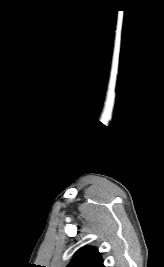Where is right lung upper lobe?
I'll use <instances>...</instances> for the list:
<instances>
[{
	"label": "right lung upper lobe",
	"instance_id": "cb5924a9",
	"mask_svg": "<svg viewBox=\"0 0 164 267\" xmlns=\"http://www.w3.org/2000/svg\"><path fill=\"white\" fill-rule=\"evenodd\" d=\"M67 267H104L101 254L95 247L85 246L78 250Z\"/></svg>",
	"mask_w": 164,
	"mask_h": 267
}]
</instances>
